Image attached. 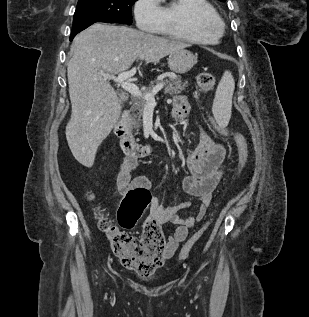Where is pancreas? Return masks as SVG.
<instances>
[{
    "instance_id": "obj_1",
    "label": "pancreas",
    "mask_w": 309,
    "mask_h": 317,
    "mask_svg": "<svg viewBox=\"0 0 309 317\" xmlns=\"http://www.w3.org/2000/svg\"><path fill=\"white\" fill-rule=\"evenodd\" d=\"M155 84H166L167 86L164 89V93L169 95L179 94L182 91H184L188 86V82H182L180 76H174L171 77L169 80L152 81L149 87L146 89L145 93L152 92L153 88L155 87ZM145 106L146 101L143 99V97H139L138 99H135L134 104L131 107V111L133 113L132 126L136 131L135 134H138L139 128L142 126L141 117L143 115Z\"/></svg>"
}]
</instances>
